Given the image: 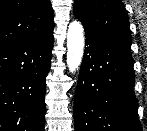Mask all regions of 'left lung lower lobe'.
I'll list each match as a JSON object with an SVG mask.
<instances>
[{"label":"left lung lower lobe","instance_id":"0a47b994","mask_svg":"<svg viewBox=\"0 0 147 131\" xmlns=\"http://www.w3.org/2000/svg\"><path fill=\"white\" fill-rule=\"evenodd\" d=\"M85 38L74 98L75 131H142L131 53Z\"/></svg>","mask_w":147,"mask_h":131}]
</instances>
